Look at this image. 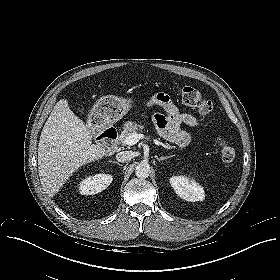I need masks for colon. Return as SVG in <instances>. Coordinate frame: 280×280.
I'll return each mask as SVG.
<instances>
[{
  "instance_id": "colon-1",
  "label": "colon",
  "mask_w": 280,
  "mask_h": 280,
  "mask_svg": "<svg viewBox=\"0 0 280 280\" xmlns=\"http://www.w3.org/2000/svg\"><path fill=\"white\" fill-rule=\"evenodd\" d=\"M181 101L188 106L195 107L199 114L209 122H213L214 107L211 101L206 99L196 88L191 86H181L178 90ZM220 157L223 163L231 164L236 159L235 149L228 143L225 138L217 139Z\"/></svg>"
}]
</instances>
